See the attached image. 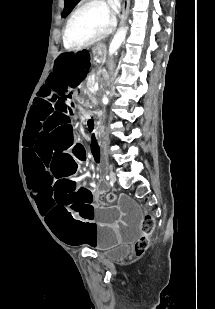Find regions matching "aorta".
<instances>
[{"mask_svg":"<svg viewBox=\"0 0 215 309\" xmlns=\"http://www.w3.org/2000/svg\"><path fill=\"white\" fill-rule=\"evenodd\" d=\"M127 28L128 26H121V28H118L116 34H114V38L113 40H111L110 46H109L110 56H112L114 52H117V48H119L120 44H122L126 36Z\"/></svg>","mask_w":215,"mask_h":309,"instance_id":"obj_1","label":"aorta"}]
</instances>
